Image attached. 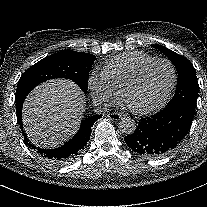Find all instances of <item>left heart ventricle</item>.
<instances>
[{
	"instance_id": "b2bd125f",
	"label": "left heart ventricle",
	"mask_w": 207,
	"mask_h": 207,
	"mask_svg": "<svg viewBox=\"0 0 207 207\" xmlns=\"http://www.w3.org/2000/svg\"><path fill=\"white\" fill-rule=\"evenodd\" d=\"M172 81L171 69L165 63L153 65L131 90L128 105L138 111H148L163 104Z\"/></svg>"
}]
</instances>
